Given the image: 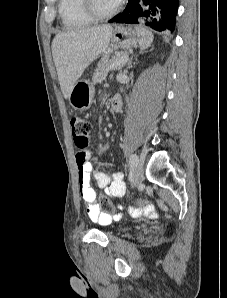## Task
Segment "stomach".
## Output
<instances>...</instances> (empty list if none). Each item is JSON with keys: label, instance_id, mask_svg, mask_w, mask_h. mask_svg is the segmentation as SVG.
<instances>
[{"label": "stomach", "instance_id": "0dacf381", "mask_svg": "<svg viewBox=\"0 0 227 298\" xmlns=\"http://www.w3.org/2000/svg\"><path fill=\"white\" fill-rule=\"evenodd\" d=\"M140 38L136 29L120 25L113 29L111 43L116 47L128 50L136 47ZM94 93L95 90L90 81L80 80L74 85L69 96V102L75 110H88L92 105Z\"/></svg>", "mask_w": 227, "mask_h": 298}]
</instances>
